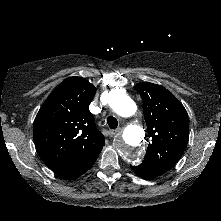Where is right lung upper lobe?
<instances>
[{
	"label": "right lung upper lobe",
	"instance_id": "right-lung-upper-lobe-1",
	"mask_svg": "<svg viewBox=\"0 0 221 221\" xmlns=\"http://www.w3.org/2000/svg\"><path fill=\"white\" fill-rule=\"evenodd\" d=\"M96 88L82 77L62 81L41 106L33 137L43 162L55 173L79 165L105 145L89 105Z\"/></svg>",
	"mask_w": 221,
	"mask_h": 221
}]
</instances>
